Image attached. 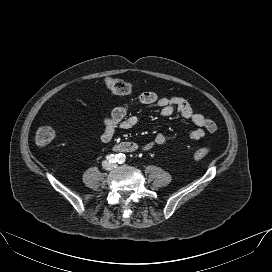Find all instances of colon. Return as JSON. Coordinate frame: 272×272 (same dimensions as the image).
I'll use <instances>...</instances> for the list:
<instances>
[{"instance_id":"colon-1","label":"colon","mask_w":272,"mask_h":272,"mask_svg":"<svg viewBox=\"0 0 272 272\" xmlns=\"http://www.w3.org/2000/svg\"><path fill=\"white\" fill-rule=\"evenodd\" d=\"M104 82L106 87L115 94L126 95L133 91L132 84L123 79L107 77ZM54 138L55 130L49 125L39 127L35 133V142L39 146L51 144ZM210 151L211 149L209 147L200 148L193 153L192 158L195 161L202 160L210 153Z\"/></svg>"}]
</instances>
